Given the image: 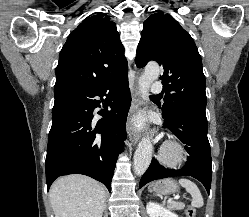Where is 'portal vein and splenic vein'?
I'll return each instance as SVG.
<instances>
[{
  "label": "portal vein and splenic vein",
  "instance_id": "obj_1",
  "mask_svg": "<svg viewBox=\"0 0 249 217\" xmlns=\"http://www.w3.org/2000/svg\"><path fill=\"white\" fill-rule=\"evenodd\" d=\"M179 198H180L179 196L174 197L175 200H178ZM171 202H172L171 200L168 201V203H171Z\"/></svg>",
  "mask_w": 249,
  "mask_h": 217
}]
</instances>
